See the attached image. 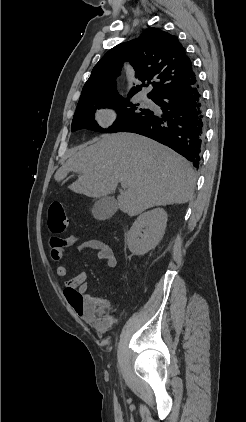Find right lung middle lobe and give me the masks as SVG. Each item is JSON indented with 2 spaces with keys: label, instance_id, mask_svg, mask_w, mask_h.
<instances>
[{
  "label": "right lung middle lobe",
  "instance_id": "1",
  "mask_svg": "<svg viewBox=\"0 0 246 422\" xmlns=\"http://www.w3.org/2000/svg\"><path fill=\"white\" fill-rule=\"evenodd\" d=\"M101 107L113 108L118 114L116 121L108 129L101 128L94 120V113L96 109ZM152 113L153 112L151 110L142 108L139 105H134L129 102V98L124 99L121 96L111 99L98 100L76 108L71 131H76L78 129H90L96 132L115 133L147 119L152 115Z\"/></svg>",
  "mask_w": 246,
  "mask_h": 422
}]
</instances>
